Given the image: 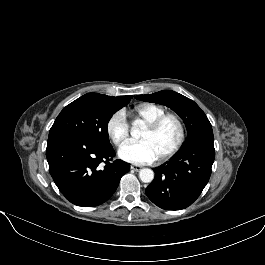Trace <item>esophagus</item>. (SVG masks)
<instances>
[{"label":"esophagus","instance_id":"esophagus-1","mask_svg":"<svg viewBox=\"0 0 265 265\" xmlns=\"http://www.w3.org/2000/svg\"><path fill=\"white\" fill-rule=\"evenodd\" d=\"M131 169L136 171V172H138V171H140L142 169V166H140V165H132Z\"/></svg>","mask_w":265,"mask_h":265}]
</instances>
